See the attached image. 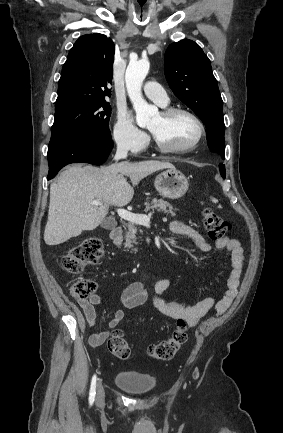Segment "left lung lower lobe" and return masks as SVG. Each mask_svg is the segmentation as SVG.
Here are the masks:
<instances>
[{
    "label": "left lung lower lobe",
    "mask_w": 283,
    "mask_h": 433,
    "mask_svg": "<svg viewBox=\"0 0 283 433\" xmlns=\"http://www.w3.org/2000/svg\"><path fill=\"white\" fill-rule=\"evenodd\" d=\"M209 148L211 149L212 152H215V153H218L219 155H221L222 159H225V153H224L225 150L219 148L217 145H210ZM219 169H220L221 176L223 178H225L226 177L225 165L223 163H220Z\"/></svg>",
    "instance_id": "0a47b994"
}]
</instances>
